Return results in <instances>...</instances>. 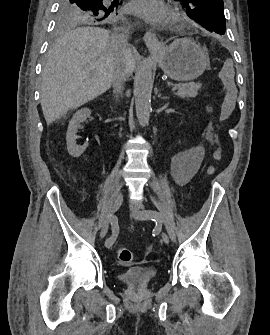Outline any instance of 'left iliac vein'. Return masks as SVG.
Wrapping results in <instances>:
<instances>
[{"label": "left iliac vein", "instance_id": "4c4485c4", "mask_svg": "<svg viewBox=\"0 0 270 335\" xmlns=\"http://www.w3.org/2000/svg\"><path fill=\"white\" fill-rule=\"evenodd\" d=\"M146 210L142 207H137L135 205H131V215L139 220H148L149 217L145 214ZM162 240L168 244L169 243V237L165 232L161 233Z\"/></svg>", "mask_w": 270, "mask_h": 335}]
</instances>
